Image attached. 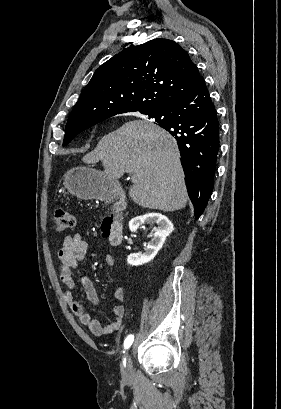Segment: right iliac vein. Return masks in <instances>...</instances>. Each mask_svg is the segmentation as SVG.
Returning a JSON list of instances; mask_svg holds the SVG:
<instances>
[{
	"instance_id": "63e3f726",
	"label": "right iliac vein",
	"mask_w": 281,
	"mask_h": 409,
	"mask_svg": "<svg viewBox=\"0 0 281 409\" xmlns=\"http://www.w3.org/2000/svg\"><path fill=\"white\" fill-rule=\"evenodd\" d=\"M130 366H131V358H130L129 353L127 352L124 357L123 372L126 373L130 369Z\"/></svg>"
}]
</instances>
